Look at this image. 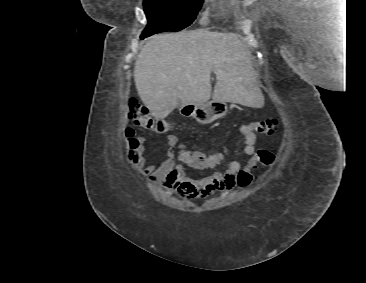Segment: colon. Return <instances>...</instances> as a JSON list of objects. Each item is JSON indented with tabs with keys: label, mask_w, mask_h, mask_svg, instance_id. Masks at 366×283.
Masks as SVG:
<instances>
[{
	"label": "colon",
	"mask_w": 366,
	"mask_h": 283,
	"mask_svg": "<svg viewBox=\"0 0 366 283\" xmlns=\"http://www.w3.org/2000/svg\"><path fill=\"white\" fill-rule=\"evenodd\" d=\"M129 119L138 127L147 130L163 131L166 129V123L163 121H155L150 115L148 109L137 103L136 101H130L129 103ZM277 119L267 118L263 120H255L251 123L250 129L259 134L271 136L277 130ZM129 136H132V131H128ZM136 140L131 139V144L134 145ZM184 160L194 168L205 167L209 163V155L203 153H182ZM275 161V155L265 149H259L251 161L240 171L237 177V183L241 188H247L253 181L252 170L256 165L261 164L264 166H271Z\"/></svg>",
	"instance_id": "colon-1"
}]
</instances>
